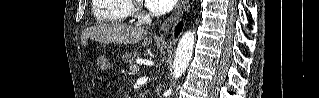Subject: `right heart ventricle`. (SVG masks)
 <instances>
[{"label":"right heart ventricle","instance_id":"e07e8e85","mask_svg":"<svg viewBox=\"0 0 319 98\" xmlns=\"http://www.w3.org/2000/svg\"><path fill=\"white\" fill-rule=\"evenodd\" d=\"M132 13L131 4L126 0H95L94 18L100 23L125 21Z\"/></svg>","mask_w":319,"mask_h":98}]
</instances>
